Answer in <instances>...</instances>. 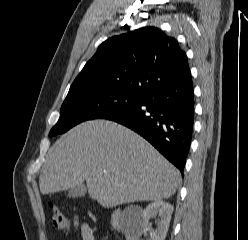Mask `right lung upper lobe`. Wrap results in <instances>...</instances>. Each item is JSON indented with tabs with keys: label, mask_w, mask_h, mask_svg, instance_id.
Segmentation results:
<instances>
[{
	"label": "right lung upper lobe",
	"mask_w": 248,
	"mask_h": 240,
	"mask_svg": "<svg viewBox=\"0 0 248 240\" xmlns=\"http://www.w3.org/2000/svg\"><path fill=\"white\" fill-rule=\"evenodd\" d=\"M190 73L188 58L175 38L156 27H143L103 42L70 90L111 88L144 96Z\"/></svg>",
	"instance_id": "cb5924a9"
}]
</instances>
